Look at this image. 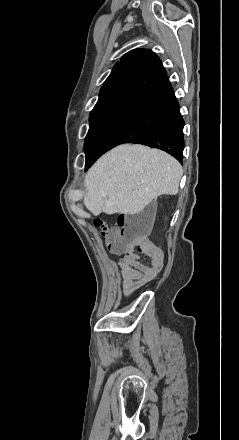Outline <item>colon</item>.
Here are the masks:
<instances>
[{"label":"colon","mask_w":239,"mask_h":440,"mask_svg":"<svg viewBox=\"0 0 239 440\" xmlns=\"http://www.w3.org/2000/svg\"><path fill=\"white\" fill-rule=\"evenodd\" d=\"M94 225L105 238L108 249L115 254H121L131 246L145 243L144 228L136 217H122L118 221L117 229L107 228L100 220H96Z\"/></svg>","instance_id":"colon-1"}]
</instances>
